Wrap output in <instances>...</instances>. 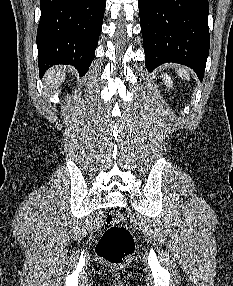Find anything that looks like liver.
Instances as JSON below:
<instances>
[{"mask_svg": "<svg viewBox=\"0 0 233 286\" xmlns=\"http://www.w3.org/2000/svg\"><path fill=\"white\" fill-rule=\"evenodd\" d=\"M65 77H66L65 69H63L62 67H55L50 69L46 73L44 81L45 84L49 86V88H55L65 80Z\"/></svg>", "mask_w": 233, "mask_h": 286, "instance_id": "liver-1", "label": "liver"}]
</instances>
